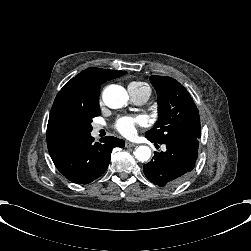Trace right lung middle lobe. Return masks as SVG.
<instances>
[{"instance_id":"right-lung-middle-lobe-1","label":"right lung middle lobe","mask_w":251,"mask_h":251,"mask_svg":"<svg viewBox=\"0 0 251 251\" xmlns=\"http://www.w3.org/2000/svg\"><path fill=\"white\" fill-rule=\"evenodd\" d=\"M101 114L100 109L88 111L79 116L78 121L85 135H89L92 131V119Z\"/></svg>"}]
</instances>
